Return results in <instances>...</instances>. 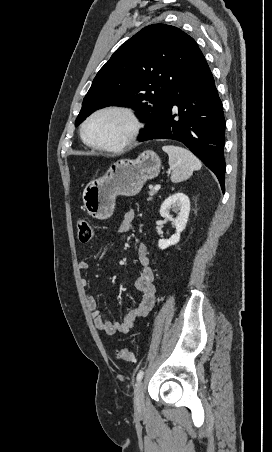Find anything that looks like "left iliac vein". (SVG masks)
<instances>
[{"label": "left iliac vein", "instance_id": "1", "mask_svg": "<svg viewBox=\"0 0 272 452\" xmlns=\"http://www.w3.org/2000/svg\"><path fill=\"white\" fill-rule=\"evenodd\" d=\"M134 409L136 413H142L145 407L144 402V384L143 382H139L134 391Z\"/></svg>", "mask_w": 272, "mask_h": 452}]
</instances>
